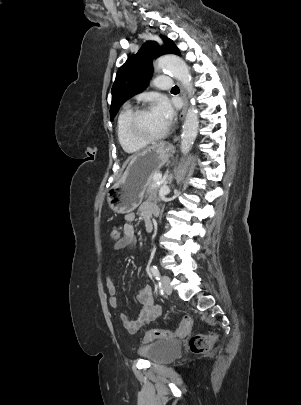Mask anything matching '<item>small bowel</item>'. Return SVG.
Instances as JSON below:
<instances>
[{"instance_id":"small-bowel-1","label":"small bowel","mask_w":301,"mask_h":405,"mask_svg":"<svg viewBox=\"0 0 301 405\" xmlns=\"http://www.w3.org/2000/svg\"><path fill=\"white\" fill-rule=\"evenodd\" d=\"M139 213L146 222L147 220H152V218L158 214V208L153 202L145 201L140 205ZM136 217L135 212H130L125 215L126 223L122 232L119 231L117 241L113 244L112 254H117L121 250L136 244V236L133 227V222L136 220ZM106 288L110 295V305L113 308H119L116 285L110 276L106 278ZM137 300L141 305V311L137 318L131 319L124 312H120L119 314L124 327L131 333L137 332L141 327L155 320L161 313V308L156 304L150 286L146 285L140 288L137 294Z\"/></svg>"}]
</instances>
